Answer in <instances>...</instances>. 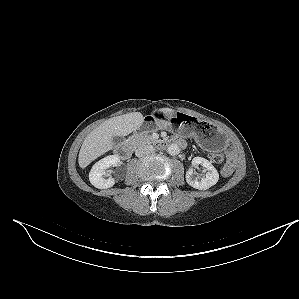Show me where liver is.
<instances>
[{
	"label": "liver",
	"instance_id": "liver-1",
	"mask_svg": "<svg viewBox=\"0 0 299 299\" xmlns=\"http://www.w3.org/2000/svg\"><path fill=\"white\" fill-rule=\"evenodd\" d=\"M161 112L170 114V108H161ZM144 122L140 112H132L110 118L86 136L79 152L78 163L84 169L99 156L113 148V136L124 137L138 130Z\"/></svg>",
	"mask_w": 299,
	"mask_h": 299
}]
</instances>
